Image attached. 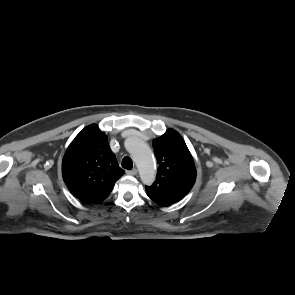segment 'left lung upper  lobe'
Segmentation results:
<instances>
[{
	"mask_svg": "<svg viewBox=\"0 0 295 295\" xmlns=\"http://www.w3.org/2000/svg\"><path fill=\"white\" fill-rule=\"evenodd\" d=\"M152 143L159 166L156 180L151 186H146V193L176 203L195 183L196 168L192 155L181 135L173 129H168Z\"/></svg>",
	"mask_w": 295,
	"mask_h": 295,
	"instance_id": "left-lung-upper-lobe-1",
	"label": "left lung upper lobe"
}]
</instances>
